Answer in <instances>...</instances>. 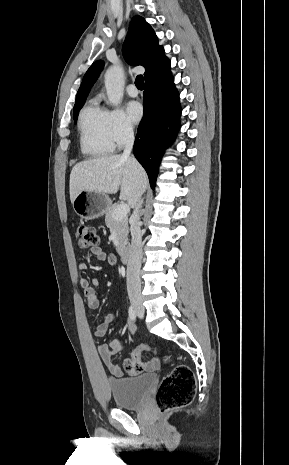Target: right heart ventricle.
I'll return each instance as SVG.
<instances>
[{"label": "right heart ventricle", "instance_id": "obj_1", "mask_svg": "<svg viewBox=\"0 0 289 465\" xmlns=\"http://www.w3.org/2000/svg\"><path fill=\"white\" fill-rule=\"evenodd\" d=\"M78 134L82 153L91 158L113 152V143L108 130V111L97 99L90 100L78 116Z\"/></svg>", "mask_w": 289, "mask_h": 465}]
</instances>
